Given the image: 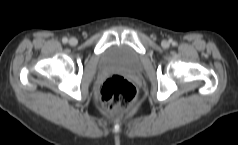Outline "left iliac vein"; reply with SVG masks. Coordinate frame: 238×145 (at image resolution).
<instances>
[{"mask_svg":"<svg viewBox=\"0 0 238 145\" xmlns=\"http://www.w3.org/2000/svg\"><path fill=\"white\" fill-rule=\"evenodd\" d=\"M162 46H163L164 48H168V47H169V42L166 41V40L162 41Z\"/></svg>","mask_w":238,"mask_h":145,"instance_id":"4c4485c4","label":"left iliac vein"}]
</instances>
